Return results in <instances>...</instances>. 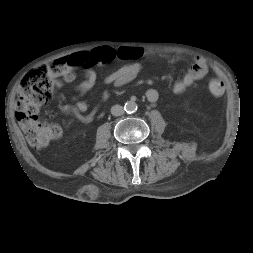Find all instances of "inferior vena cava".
I'll use <instances>...</instances> for the list:
<instances>
[{"mask_svg": "<svg viewBox=\"0 0 253 253\" xmlns=\"http://www.w3.org/2000/svg\"><path fill=\"white\" fill-rule=\"evenodd\" d=\"M111 113H112V115H114V116H121V115L124 114V109H123V107L120 106V105H114V106H112V108H111Z\"/></svg>", "mask_w": 253, "mask_h": 253, "instance_id": "1", "label": "inferior vena cava"}]
</instances>
